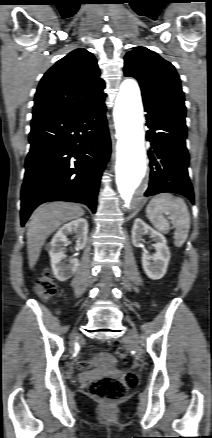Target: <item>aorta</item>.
<instances>
[{
  "label": "aorta",
  "instance_id": "aorta-1",
  "mask_svg": "<svg viewBox=\"0 0 212 438\" xmlns=\"http://www.w3.org/2000/svg\"><path fill=\"white\" fill-rule=\"evenodd\" d=\"M118 137L116 182L121 197L129 204L146 174L143 106L136 81L125 80L114 107Z\"/></svg>",
  "mask_w": 212,
  "mask_h": 438
}]
</instances>
